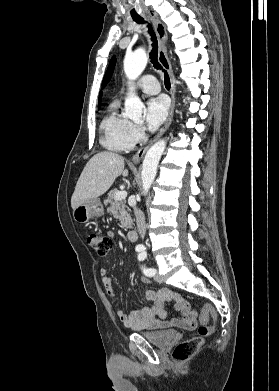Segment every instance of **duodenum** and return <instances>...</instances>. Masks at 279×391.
I'll return each mask as SVG.
<instances>
[{"label":"duodenum","mask_w":279,"mask_h":391,"mask_svg":"<svg viewBox=\"0 0 279 391\" xmlns=\"http://www.w3.org/2000/svg\"><path fill=\"white\" fill-rule=\"evenodd\" d=\"M139 239V232L137 229H132L128 233V240L130 242H136Z\"/></svg>","instance_id":"obj_1"}]
</instances>
